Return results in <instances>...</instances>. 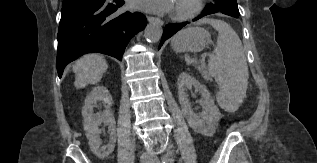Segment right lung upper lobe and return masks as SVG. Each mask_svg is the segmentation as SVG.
<instances>
[{
	"label": "right lung upper lobe",
	"instance_id": "cb5924a9",
	"mask_svg": "<svg viewBox=\"0 0 317 163\" xmlns=\"http://www.w3.org/2000/svg\"><path fill=\"white\" fill-rule=\"evenodd\" d=\"M65 1H69V0H63V2H65Z\"/></svg>",
	"mask_w": 317,
	"mask_h": 163
}]
</instances>
